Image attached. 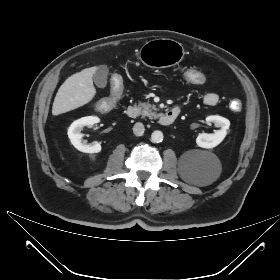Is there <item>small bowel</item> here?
Instances as JSON below:
<instances>
[{"label": "small bowel", "instance_id": "small-bowel-1", "mask_svg": "<svg viewBox=\"0 0 280 280\" xmlns=\"http://www.w3.org/2000/svg\"><path fill=\"white\" fill-rule=\"evenodd\" d=\"M219 101V97L214 92H208L203 96V103L206 106H215Z\"/></svg>", "mask_w": 280, "mask_h": 280}]
</instances>
